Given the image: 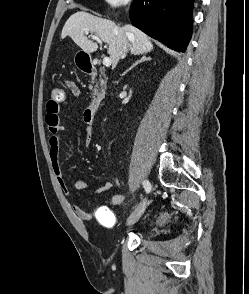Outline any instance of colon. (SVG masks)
Here are the masks:
<instances>
[{
  "mask_svg": "<svg viewBox=\"0 0 249 294\" xmlns=\"http://www.w3.org/2000/svg\"><path fill=\"white\" fill-rule=\"evenodd\" d=\"M65 100V93L62 88L54 87L51 91L49 102L53 106H57Z\"/></svg>",
  "mask_w": 249,
  "mask_h": 294,
  "instance_id": "colon-1",
  "label": "colon"
}]
</instances>
